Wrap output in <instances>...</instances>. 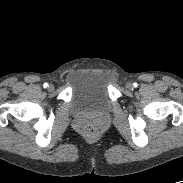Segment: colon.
Returning a JSON list of instances; mask_svg holds the SVG:
<instances>
[{"label": "colon", "mask_w": 183, "mask_h": 183, "mask_svg": "<svg viewBox=\"0 0 183 183\" xmlns=\"http://www.w3.org/2000/svg\"><path fill=\"white\" fill-rule=\"evenodd\" d=\"M82 131L86 136L93 137L98 133V126L93 120H87L82 124Z\"/></svg>", "instance_id": "1"}]
</instances>
